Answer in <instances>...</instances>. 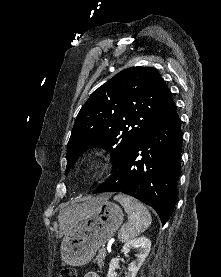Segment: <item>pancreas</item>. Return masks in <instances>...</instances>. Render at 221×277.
<instances>
[{"instance_id":"pancreas-1","label":"pancreas","mask_w":221,"mask_h":277,"mask_svg":"<svg viewBox=\"0 0 221 277\" xmlns=\"http://www.w3.org/2000/svg\"><path fill=\"white\" fill-rule=\"evenodd\" d=\"M105 257L106 251L100 249L96 259L94 260V263H96L99 266V268H102L104 266Z\"/></svg>"}]
</instances>
